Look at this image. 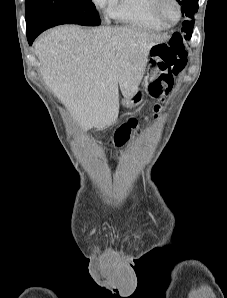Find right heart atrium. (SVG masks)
I'll list each match as a JSON object with an SVG mask.
<instances>
[{
	"label": "right heart atrium",
	"instance_id": "obj_1",
	"mask_svg": "<svg viewBox=\"0 0 227 298\" xmlns=\"http://www.w3.org/2000/svg\"><path fill=\"white\" fill-rule=\"evenodd\" d=\"M108 0H93L94 4L99 7H105Z\"/></svg>",
	"mask_w": 227,
	"mask_h": 298
}]
</instances>
